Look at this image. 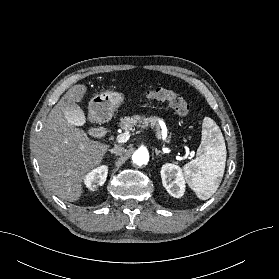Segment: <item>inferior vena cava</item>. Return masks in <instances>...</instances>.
Instances as JSON below:
<instances>
[{
    "instance_id": "inferior-vena-cava-1",
    "label": "inferior vena cava",
    "mask_w": 279,
    "mask_h": 279,
    "mask_svg": "<svg viewBox=\"0 0 279 279\" xmlns=\"http://www.w3.org/2000/svg\"><path fill=\"white\" fill-rule=\"evenodd\" d=\"M111 153H114L116 155H122L124 152V148L120 147V146H115L114 148L110 149Z\"/></svg>"
}]
</instances>
